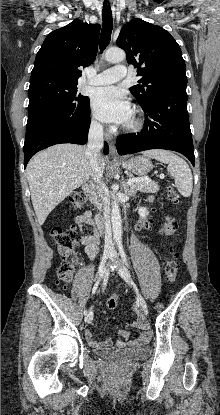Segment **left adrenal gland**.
<instances>
[{
  "mask_svg": "<svg viewBox=\"0 0 220 415\" xmlns=\"http://www.w3.org/2000/svg\"><path fill=\"white\" fill-rule=\"evenodd\" d=\"M125 192L127 194H130V195L134 194V191L132 189L127 188V187L125 188Z\"/></svg>",
  "mask_w": 220,
  "mask_h": 415,
  "instance_id": "a2214340",
  "label": "left adrenal gland"
}]
</instances>
